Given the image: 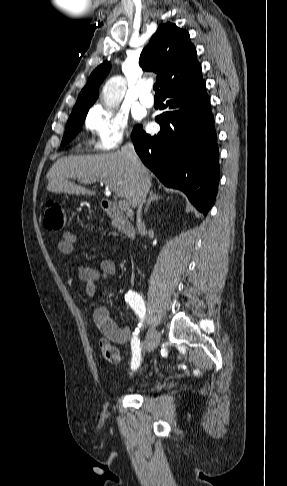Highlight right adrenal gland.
<instances>
[{
  "instance_id": "2a0ac1e0",
  "label": "right adrenal gland",
  "mask_w": 287,
  "mask_h": 486,
  "mask_svg": "<svg viewBox=\"0 0 287 486\" xmlns=\"http://www.w3.org/2000/svg\"><path fill=\"white\" fill-rule=\"evenodd\" d=\"M160 198H162V197L159 196V195H157L153 191H151L150 194H149V199L147 201V204H146V207H145L144 212L146 213L148 211V208H149V206H150V204H151L152 201H158Z\"/></svg>"
}]
</instances>
